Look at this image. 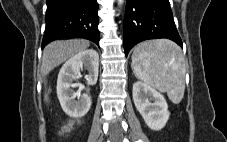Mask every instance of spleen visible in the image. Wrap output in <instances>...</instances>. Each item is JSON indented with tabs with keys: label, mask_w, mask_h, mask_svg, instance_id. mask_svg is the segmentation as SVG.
<instances>
[{
	"label": "spleen",
	"mask_w": 227,
	"mask_h": 142,
	"mask_svg": "<svg viewBox=\"0 0 227 142\" xmlns=\"http://www.w3.org/2000/svg\"><path fill=\"white\" fill-rule=\"evenodd\" d=\"M135 76L146 84L167 92L178 104L185 91V59L181 49L170 40H150L138 44L132 54Z\"/></svg>",
	"instance_id": "obj_1"
}]
</instances>
